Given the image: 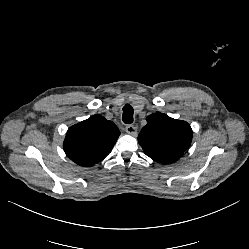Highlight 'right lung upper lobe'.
<instances>
[{"mask_svg": "<svg viewBox=\"0 0 249 249\" xmlns=\"http://www.w3.org/2000/svg\"><path fill=\"white\" fill-rule=\"evenodd\" d=\"M120 131L101 115H93L69 128L64 151L68 158L80 166H93L102 161L115 145Z\"/></svg>", "mask_w": 249, "mask_h": 249, "instance_id": "right-lung-upper-lobe-1", "label": "right lung upper lobe"}]
</instances>
